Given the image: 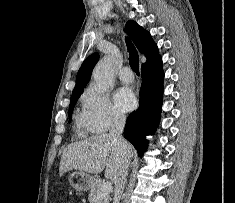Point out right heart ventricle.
Masks as SVG:
<instances>
[{
	"mask_svg": "<svg viewBox=\"0 0 235 203\" xmlns=\"http://www.w3.org/2000/svg\"><path fill=\"white\" fill-rule=\"evenodd\" d=\"M77 125H78L79 130L82 131V132L85 131L86 129H88V126H87L84 115H79L78 116Z\"/></svg>",
	"mask_w": 235,
	"mask_h": 203,
	"instance_id": "e07e8e85",
	"label": "right heart ventricle"
}]
</instances>
